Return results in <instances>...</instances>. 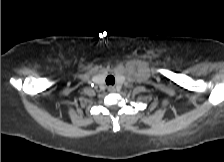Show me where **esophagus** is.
Wrapping results in <instances>:
<instances>
[{
    "instance_id": "obj_1",
    "label": "esophagus",
    "mask_w": 224,
    "mask_h": 162,
    "mask_svg": "<svg viewBox=\"0 0 224 162\" xmlns=\"http://www.w3.org/2000/svg\"><path fill=\"white\" fill-rule=\"evenodd\" d=\"M108 91L110 92V93H114L115 91H116V89H115V87L114 86H108Z\"/></svg>"
}]
</instances>
